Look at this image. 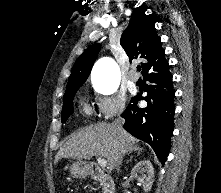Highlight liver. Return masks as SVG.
Here are the masks:
<instances>
[{
	"mask_svg": "<svg viewBox=\"0 0 221 193\" xmlns=\"http://www.w3.org/2000/svg\"><path fill=\"white\" fill-rule=\"evenodd\" d=\"M136 139L125 130H117L114 124L98 123L82 128L71 136L58 151L55 162L62 158L91 159L104 158L108 168L115 167L118 152L130 154L137 151Z\"/></svg>",
	"mask_w": 221,
	"mask_h": 193,
	"instance_id": "liver-1",
	"label": "liver"
}]
</instances>
